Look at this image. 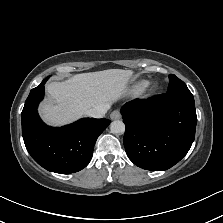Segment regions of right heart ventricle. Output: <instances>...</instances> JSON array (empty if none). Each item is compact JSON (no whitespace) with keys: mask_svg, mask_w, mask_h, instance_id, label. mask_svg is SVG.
<instances>
[{"mask_svg":"<svg viewBox=\"0 0 223 223\" xmlns=\"http://www.w3.org/2000/svg\"><path fill=\"white\" fill-rule=\"evenodd\" d=\"M142 86H143V82H142V81L136 83V84L132 87V89H131V93H132V94H135V93L139 92V91L141 90Z\"/></svg>","mask_w":223,"mask_h":223,"instance_id":"e07e8e85","label":"right heart ventricle"}]
</instances>
